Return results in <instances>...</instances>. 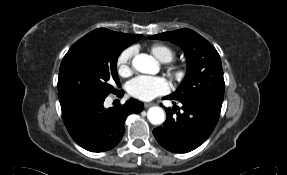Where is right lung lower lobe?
I'll return each instance as SVG.
<instances>
[{
	"label": "right lung lower lobe",
	"instance_id": "1",
	"mask_svg": "<svg viewBox=\"0 0 287 175\" xmlns=\"http://www.w3.org/2000/svg\"><path fill=\"white\" fill-rule=\"evenodd\" d=\"M123 91L116 95L122 96ZM104 98L74 97L61 102L64 124L74 141L91 152L114 148L124 134L126 117L143 110V103L135 99L124 105L104 108Z\"/></svg>",
	"mask_w": 287,
	"mask_h": 175
}]
</instances>
